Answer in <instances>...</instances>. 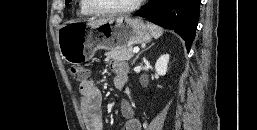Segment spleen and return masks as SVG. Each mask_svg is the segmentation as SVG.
<instances>
[{
	"instance_id": "3e777b00",
	"label": "spleen",
	"mask_w": 257,
	"mask_h": 130,
	"mask_svg": "<svg viewBox=\"0 0 257 130\" xmlns=\"http://www.w3.org/2000/svg\"><path fill=\"white\" fill-rule=\"evenodd\" d=\"M147 28H148L150 34L152 35V37H154L155 39L159 38L163 34L162 28H160L154 24L147 23Z\"/></svg>"
}]
</instances>
